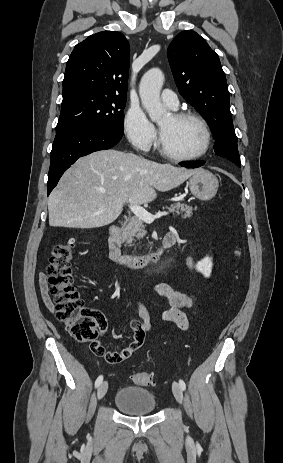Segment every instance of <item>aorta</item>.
<instances>
[{
    "label": "aorta",
    "instance_id": "762f6f07",
    "mask_svg": "<svg viewBox=\"0 0 283 463\" xmlns=\"http://www.w3.org/2000/svg\"><path fill=\"white\" fill-rule=\"evenodd\" d=\"M163 82L164 74L158 68L147 71L140 82L139 94L142 105L154 122L160 121L167 114V110L160 100V90Z\"/></svg>",
    "mask_w": 283,
    "mask_h": 463
}]
</instances>
